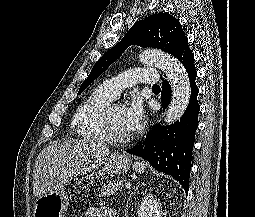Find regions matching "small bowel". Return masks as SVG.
Masks as SVG:
<instances>
[{
  "label": "small bowel",
  "mask_w": 255,
  "mask_h": 217,
  "mask_svg": "<svg viewBox=\"0 0 255 217\" xmlns=\"http://www.w3.org/2000/svg\"><path fill=\"white\" fill-rule=\"evenodd\" d=\"M83 217H119V216L115 210L103 206H95L88 208Z\"/></svg>",
  "instance_id": "small-bowel-1"
}]
</instances>
